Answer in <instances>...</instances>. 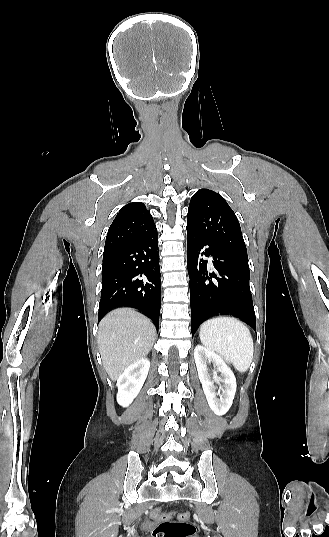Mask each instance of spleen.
<instances>
[{
    "label": "spleen",
    "instance_id": "1",
    "mask_svg": "<svg viewBox=\"0 0 329 537\" xmlns=\"http://www.w3.org/2000/svg\"><path fill=\"white\" fill-rule=\"evenodd\" d=\"M201 343L245 372L253 359L254 345L248 327L240 320L223 316L205 321L199 332Z\"/></svg>",
    "mask_w": 329,
    "mask_h": 537
}]
</instances>
